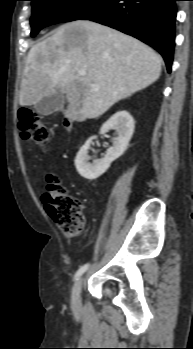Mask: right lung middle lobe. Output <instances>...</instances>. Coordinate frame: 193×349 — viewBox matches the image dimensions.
Instances as JSON below:
<instances>
[{"mask_svg": "<svg viewBox=\"0 0 193 349\" xmlns=\"http://www.w3.org/2000/svg\"><path fill=\"white\" fill-rule=\"evenodd\" d=\"M31 36L42 28L80 19L101 0H31Z\"/></svg>", "mask_w": 193, "mask_h": 349, "instance_id": "obj_1", "label": "right lung middle lobe"}]
</instances>
